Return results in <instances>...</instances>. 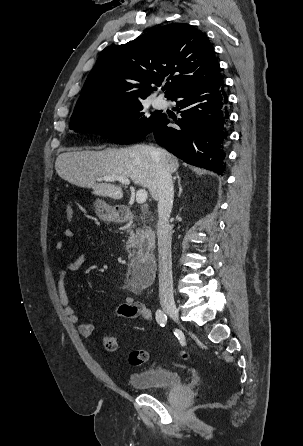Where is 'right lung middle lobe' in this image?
I'll return each instance as SVG.
<instances>
[{
    "label": "right lung middle lobe",
    "instance_id": "obj_1",
    "mask_svg": "<svg viewBox=\"0 0 303 446\" xmlns=\"http://www.w3.org/2000/svg\"><path fill=\"white\" fill-rule=\"evenodd\" d=\"M163 114L148 115L141 101L127 105H113L71 117L70 129L95 132L118 144H131L149 134L160 122Z\"/></svg>",
    "mask_w": 303,
    "mask_h": 446
}]
</instances>
